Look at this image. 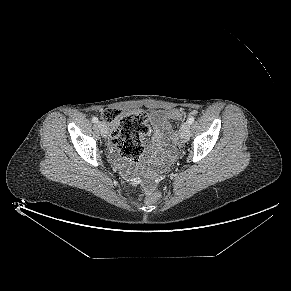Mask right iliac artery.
Here are the masks:
<instances>
[{"mask_svg": "<svg viewBox=\"0 0 291 291\" xmlns=\"http://www.w3.org/2000/svg\"><path fill=\"white\" fill-rule=\"evenodd\" d=\"M92 121H93L94 123H98V119H97L96 117H93V118H92Z\"/></svg>", "mask_w": 291, "mask_h": 291, "instance_id": "right-iliac-artery-1", "label": "right iliac artery"}]
</instances>
